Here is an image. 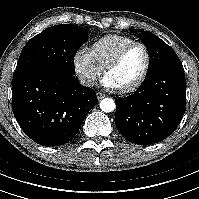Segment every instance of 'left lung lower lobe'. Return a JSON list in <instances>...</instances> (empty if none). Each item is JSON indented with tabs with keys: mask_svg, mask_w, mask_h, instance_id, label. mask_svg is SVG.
Here are the masks:
<instances>
[{
	"mask_svg": "<svg viewBox=\"0 0 199 199\" xmlns=\"http://www.w3.org/2000/svg\"><path fill=\"white\" fill-rule=\"evenodd\" d=\"M186 80L179 59L146 76L132 95L116 99L115 124L132 143L149 145L170 136L186 109Z\"/></svg>",
	"mask_w": 199,
	"mask_h": 199,
	"instance_id": "1",
	"label": "left lung lower lobe"
}]
</instances>
